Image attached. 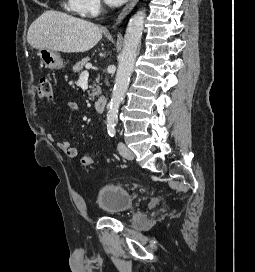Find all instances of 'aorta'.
<instances>
[{
  "label": "aorta",
  "instance_id": "1",
  "mask_svg": "<svg viewBox=\"0 0 255 272\" xmlns=\"http://www.w3.org/2000/svg\"><path fill=\"white\" fill-rule=\"evenodd\" d=\"M145 16V10L137 12L131 17L126 28L124 47L119 55L115 85L106 118L108 128H113L117 124L118 109L128 88L137 51L141 43Z\"/></svg>",
  "mask_w": 255,
  "mask_h": 272
}]
</instances>
